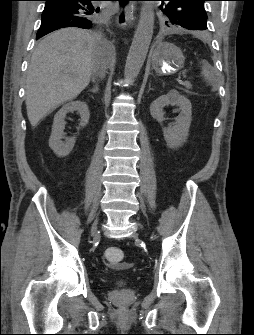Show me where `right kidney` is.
Returning a JSON list of instances; mask_svg holds the SVG:
<instances>
[{"mask_svg":"<svg viewBox=\"0 0 254 335\" xmlns=\"http://www.w3.org/2000/svg\"><path fill=\"white\" fill-rule=\"evenodd\" d=\"M78 111L80 114V126L85 127L90 118L89 108L85 102L82 101H74L67 103L62 106V108L56 113L54 116V122L52 125V133L49 138V147L54 151V153L58 157L67 156L73 149L76 138H65L64 129H65V121L64 118L67 113ZM65 138V142L62 139Z\"/></svg>","mask_w":254,"mask_h":335,"instance_id":"ca27d5eb","label":"right kidney"}]
</instances>
